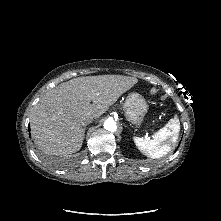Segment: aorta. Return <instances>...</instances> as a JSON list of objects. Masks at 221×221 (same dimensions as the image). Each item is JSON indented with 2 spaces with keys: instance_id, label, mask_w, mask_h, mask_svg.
Wrapping results in <instances>:
<instances>
[{
  "instance_id": "1",
  "label": "aorta",
  "mask_w": 221,
  "mask_h": 221,
  "mask_svg": "<svg viewBox=\"0 0 221 221\" xmlns=\"http://www.w3.org/2000/svg\"><path fill=\"white\" fill-rule=\"evenodd\" d=\"M104 128L107 131L115 132L117 130V124L113 119L109 118V119L105 120Z\"/></svg>"
}]
</instances>
